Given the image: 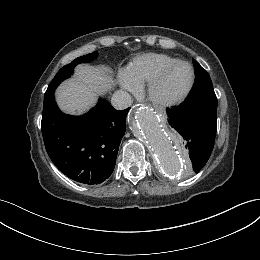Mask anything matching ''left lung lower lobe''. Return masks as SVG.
I'll return each mask as SVG.
<instances>
[{
    "mask_svg": "<svg viewBox=\"0 0 260 260\" xmlns=\"http://www.w3.org/2000/svg\"><path fill=\"white\" fill-rule=\"evenodd\" d=\"M168 123L183 142L190 168L198 173L208 161L217 130V98L202 97L167 110Z\"/></svg>",
    "mask_w": 260,
    "mask_h": 260,
    "instance_id": "1",
    "label": "left lung lower lobe"
}]
</instances>
